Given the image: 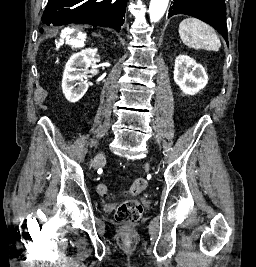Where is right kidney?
<instances>
[{"mask_svg":"<svg viewBox=\"0 0 256 267\" xmlns=\"http://www.w3.org/2000/svg\"><path fill=\"white\" fill-rule=\"evenodd\" d=\"M97 48H86L73 54L66 64L62 80V92L68 102H78L88 90L87 74L92 62L99 60Z\"/></svg>","mask_w":256,"mask_h":267,"instance_id":"obj_1","label":"right kidney"}]
</instances>
